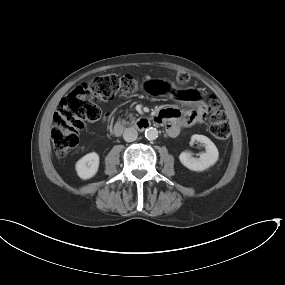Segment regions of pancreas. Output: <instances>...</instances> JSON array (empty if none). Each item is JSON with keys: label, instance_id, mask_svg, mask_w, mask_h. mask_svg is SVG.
Instances as JSON below:
<instances>
[{"label": "pancreas", "instance_id": "obj_1", "mask_svg": "<svg viewBox=\"0 0 285 285\" xmlns=\"http://www.w3.org/2000/svg\"><path fill=\"white\" fill-rule=\"evenodd\" d=\"M129 117H130L132 120H134V117L132 116V114H130Z\"/></svg>", "mask_w": 285, "mask_h": 285}]
</instances>
